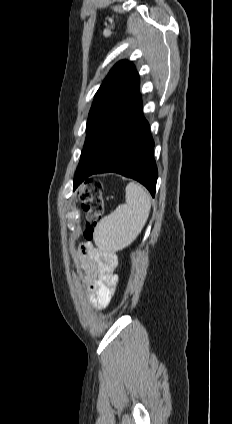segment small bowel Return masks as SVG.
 Masks as SVG:
<instances>
[{
    "label": "small bowel",
    "mask_w": 232,
    "mask_h": 424,
    "mask_svg": "<svg viewBox=\"0 0 232 424\" xmlns=\"http://www.w3.org/2000/svg\"><path fill=\"white\" fill-rule=\"evenodd\" d=\"M75 257L86 275L90 303L93 307L104 309L115 293L117 277L101 260L93 255L89 244H83L75 250Z\"/></svg>",
    "instance_id": "obj_1"
}]
</instances>
